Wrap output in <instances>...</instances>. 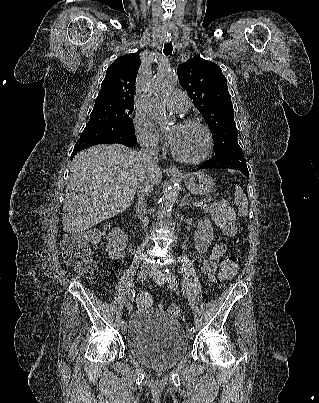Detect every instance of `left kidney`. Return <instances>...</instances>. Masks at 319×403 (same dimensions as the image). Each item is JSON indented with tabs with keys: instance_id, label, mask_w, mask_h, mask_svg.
<instances>
[{
	"instance_id": "left-kidney-1",
	"label": "left kidney",
	"mask_w": 319,
	"mask_h": 403,
	"mask_svg": "<svg viewBox=\"0 0 319 403\" xmlns=\"http://www.w3.org/2000/svg\"><path fill=\"white\" fill-rule=\"evenodd\" d=\"M214 239V232L209 219L198 221V226L194 234L195 248L199 253H204L209 248Z\"/></svg>"
}]
</instances>
